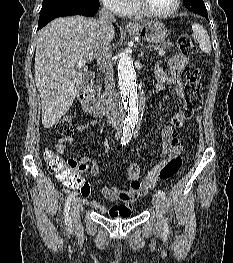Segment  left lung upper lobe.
Segmentation results:
<instances>
[{
  "instance_id": "5c2ea615",
  "label": "left lung upper lobe",
  "mask_w": 233,
  "mask_h": 263,
  "mask_svg": "<svg viewBox=\"0 0 233 263\" xmlns=\"http://www.w3.org/2000/svg\"><path fill=\"white\" fill-rule=\"evenodd\" d=\"M186 8L197 14L207 12L203 0H183Z\"/></svg>"
}]
</instances>
